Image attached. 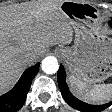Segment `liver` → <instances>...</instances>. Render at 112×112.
<instances>
[{
    "instance_id": "1",
    "label": "liver",
    "mask_w": 112,
    "mask_h": 112,
    "mask_svg": "<svg viewBox=\"0 0 112 112\" xmlns=\"http://www.w3.org/2000/svg\"><path fill=\"white\" fill-rule=\"evenodd\" d=\"M76 25L58 2L26 3L18 12L0 18V92L28 64L22 60L23 54L37 57L52 45L69 44Z\"/></svg>"
}]
</instances>
